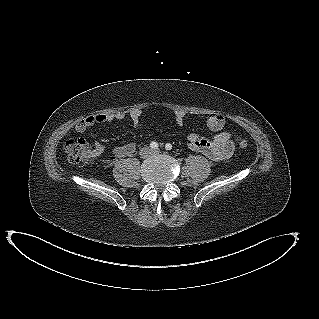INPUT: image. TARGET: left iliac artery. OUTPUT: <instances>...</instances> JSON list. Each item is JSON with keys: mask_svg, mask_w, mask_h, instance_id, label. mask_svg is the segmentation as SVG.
<instances>
[{"mask_svg": "<svg viewBox=\"0 0 319 319\" xmlns=\"http://www.w3.org/2000/svg\"><path fill=\"white\" fill-rule=\"evenodd\" d=\"M165 149H166V150H171V149H172V145H171L170 143H167V144L165 145Z\"/></svg>", "mask_w": 319, "mask_h": 319, "instance_id": "obj_1", "label": "left iliac artery"}]
</instances>
